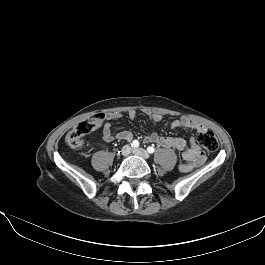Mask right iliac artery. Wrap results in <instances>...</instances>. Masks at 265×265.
Wrapping results in <instances>:
<instances>
[{
	"instance_id": "right-iliac-artery-1",
	"label": "right iliac artery",
	"mask_w": 265,
	"mask_h": 265,
	"mask_svg": "<svg viewBox=\"0 0 265 265\" xmlns=\"http://www.w3.org/2000/svg\"><path fill=\"white\" fill-rule=\"evenodd\" d=\"M131 146L134 147V148H137L139 146V141L138 140H134L132 143H131Z\"/></svg>"
}]
</instances>
